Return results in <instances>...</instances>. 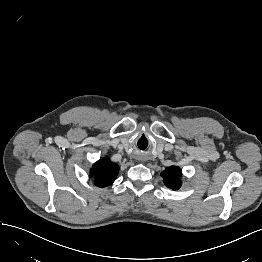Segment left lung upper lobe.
Listing matches in <instances>:
<instances>
[{
	"label": "left lung upper lobe",
	"instance_id": "left-lung-upper-lobe-1",
	"mask_svg": "<svg viewBox=\"0 0 262 262\" xmlns=\"http://www.w3.org/2000/svg\"><path fill=\"white\" fill-rule=\"evenodd\" d=\"M182 173L179 167L171 166L161 173V176L164 178V183L166 186L177 190L181 186V177Z\"/></svg>",
	"mask_w": 262,
	"mask_h": 262
}]
</instances>
